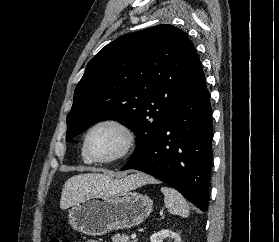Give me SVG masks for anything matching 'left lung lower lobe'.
<instances>
[{
	"label": "left lung lower lobe",
	"mask_w": 279,
	"mask_h": 242,
	"mask_svg": "<svg viewBox=\"0 0 279 242\" xmlns=\"http://www.w3.org/2000/svg\"><path fill=\"white\" fill-rule=\"evenodd\" d=\"M212 110L202 65L193 73L159 136L121 170L148 173L178 190L202 211L208 210L212 164Z\"/></svg>",
	"instance_id": "obj_1"
}]
</instances>
